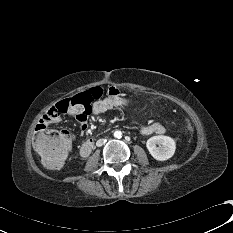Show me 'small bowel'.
Returning <instances> with one entry per match:
<instances>
[{
  "label": "small bowel",
  "mask_w": 233,
  "mask_h": 233,
  "mask_svg": "<svg viewBox=\"0 0 233 233\" xmlns=\"http://www.w3.org/2000/svg\"><path fill=\"white\" fill-rule=\"evenodd\" d=\"M121 108L123 111H133L137 117H144L147 114V104L141 99L134 97H127L119 87H111L106 92V97L95 101L88 111H79L73 108L61 107L58 103L52 106L39 120L37 127L47 128L51 123L58 122L61 114L68 113L75 117L79 123V131L81 134L88 129V119L92 116H97L108 111ZM165 126L160 122H151L143 126L140 130L144 136L152 134L165 133ZM96 147V140L94 138H87L78 146V151L83 156H88Z\"/></svg>",
  "instance_id": "obj_1"
}]
</instances>
